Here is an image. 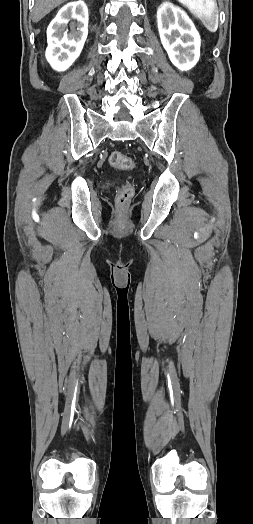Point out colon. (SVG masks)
I'll return each instance as SVG.
<instances>
[{
	"mask_svg": "<svg viewBox=\"0 0 253 524\" xmlns=\"http://www.w3.org/2000/svg\"><path fill=\"white\" fill-rule=\"evenodd\" d=\"M108 161L112 167L122 170H131L135 166L134 161L123 155L120 151L111 152ZM133 192L134 189L132 185L128 184L123 186L117 194V203L121 206H125L130 201Z\"/></svg>",
	"mask_w": 253,
	"mask_h": 524,
	"instance_id": "colon-1",
	"label": "colon"
}]
</instances>
